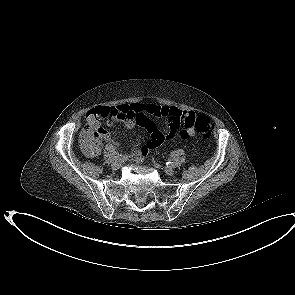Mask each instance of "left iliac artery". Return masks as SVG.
<instances>
[{"instance_id":"obj_1","label":"left iliac artery","mask_w":295,"mask_h":295,"mask_svg":"<svg viewBox=\"0 0 295 295\" xmlns=\"http://www.w3.org/2000/svg\"><path fill=\"white\" fill-rule=\"evenodd\" d=\"M166 165H167L168 167H173V166H174V163L171 162V161H168V162H166Z\"/></svg>"}]
</instances>
